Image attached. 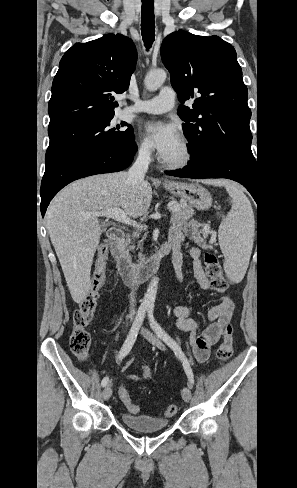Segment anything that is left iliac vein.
Here are the masks:
<instances>
[{"instance_id": "left-iliac-vein-1", "label": "left iliac vein", "mask_w": 297, "mask_h": 488, "mask_svg": "<svg viewBox=\"0 0 297 488\" xmlns=\"http://www.w3.org/2000/svg\"><path fill=\"white\" fill-rule=\"evenodd\" d=\"M141 334L150 343L156 345L161 350H165V347L162 344V342L157 337H155L150 331H148L146 329H142L141 330ZM191 397H192V393H191V390H190V386L183 388V390H182V398H183V400L185 402H189L191 400Z\"/></svg>"}]
</instances>
